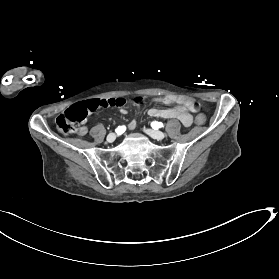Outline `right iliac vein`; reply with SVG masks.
Returning a JSON list of instances; mask_svg holds the SVG:
<instances>
[{"mask_svg":"<svg viewBox=\"0 0 279 279\" xmlns=\"http://www.w3.org/2000/svg\"><path fill=\"white\" fill-rule=\"evenodd\" d=\"M115 139H116V134H115V133H110V134L107 136V141H108V142H113Z\"/></svg>","mask_w":279,"mask_h":279,"instance_id":"right-iliac-vein-1","label":"right iliac vein"}]
</instances>
